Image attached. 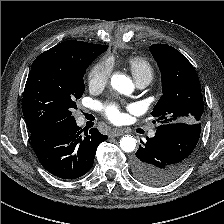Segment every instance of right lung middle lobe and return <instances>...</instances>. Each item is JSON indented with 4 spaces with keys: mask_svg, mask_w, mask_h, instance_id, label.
Here are the masks:
<instances>
[{
    "mask_svg": "<svg viewBox=\"0 0 224 224\" xmlns=\"http://www.w3.org/2000/svg\"><path fill=\"white\" fill-rule=\"evenodd\" d=\"M107 48L105 45L101 53ZM97 56L82 62L32 65L22 100L30 132L51 123L74 120L71 111L77 108L75 101L84 92L83 76Z\"/></svg>",
    "mask_w": 224,
    "mask_h": 224,
    "instance_id": "right-lung-middle-lobe-1",
    "label": "right lung middle lobe"
}]
</instances>
